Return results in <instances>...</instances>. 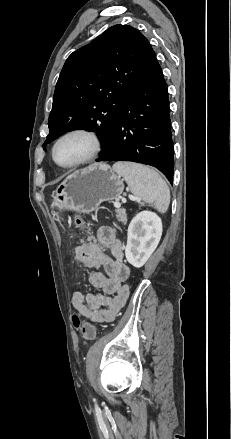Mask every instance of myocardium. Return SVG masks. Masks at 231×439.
Segmentation results:
<instances>
[{
  "mask_svg": "<svg viewBox=\"0 0 231 439\" xmlns=\"http://www.w3.org/2000/svg\"><path fill=\"white\" fill-rule=\"evenodd\" d=\"M73 135H83V136L87 137L88 139H90V141L92 143V149L85 157H83L82 159H80L74 163L61 164L58 162V160L56 158V149L62 140H64L65 138H67L69 136H73ZM102 148H103L102 138L96 131L89 129V128L77 127V128H73V129L65 131L55 140L53 147H52V158H53V161L58 166H60L62 168H74V167H78L80 165H83V164L93 160L94 158H96L100 154V152L102 151Z\"/></svg>",
  "mask_w": 231,
  "mask_h": 439,
  "instance_id": "1",
  "label": "myocardium"
}]
</instances>
